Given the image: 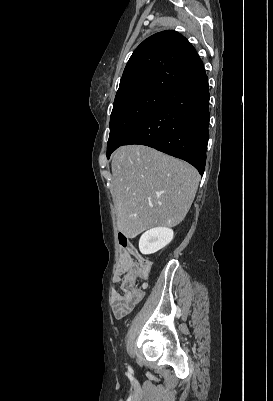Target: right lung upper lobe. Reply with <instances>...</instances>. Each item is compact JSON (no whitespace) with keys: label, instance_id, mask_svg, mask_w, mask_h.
<instances>
[{"label":"right lung upper lobe","instance_id":"right-lung-upper-lobe-1","mask_svg":"<svg viewBox=\"0 0 273 401\" xmlns=\"http://www.w3.org/2000/svg\"><path fill=\"white\" fill-rule=\"evenodd\" d=\"M204 71L195 48L184 36L173 30L162 31L135 49L115 100L145 91L167 94Z\"/></svg>","mask_w":273,"mask_h":401}]
</instances>
